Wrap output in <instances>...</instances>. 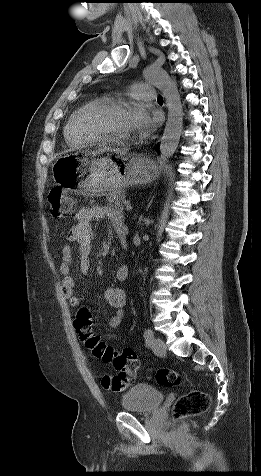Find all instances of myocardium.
Here are the masks:
<instances>
[{"mask_svg":"<svg viewBox=\"0 0 261 476\" xmlns=\"http://www.w3.org/2000/svg\"><path fill=\"white\" fill-rule=\"evenodd\" d=\"M130 102L121 100H107L96 102L87 107L80 116L81 131L91 138L105 142H125L126 136H120L103 126L102 119L119 110L129 108Z\"/></svg>","mask_w":261,"mask_h":476,"instance_id":"1","label":"myocardium"}]
</instances>
